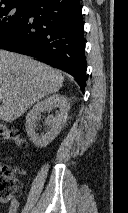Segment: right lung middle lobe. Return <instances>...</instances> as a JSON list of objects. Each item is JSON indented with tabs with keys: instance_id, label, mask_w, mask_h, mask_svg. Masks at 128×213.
Here are the masks:
<instances>
[{
	"instance_id": "dd1d6c3e",
	"label": "right lung middle lobe",
	"mask_w": 128,
	"mask_h": 213,
	"mask_svg": "<svg viewBox=\"0 0 128 213\" xmlns=\"http://www.w3.org/2000/svg\"><path fill=\"white\" fill-rule=\"evenodd\" d=\"M29 8L30 6L17 4L0 6V41L23 24Z\"/></svg>"
}]
</instances>
